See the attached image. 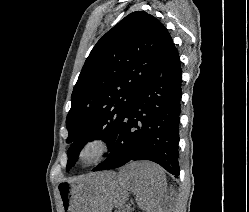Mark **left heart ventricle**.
I'll list each match as a JSON object with an SVG mask.
<instances>
[{"label":"left heart ventricle","mask_w":249,"mask_h":212,"mask_svg":"<svg viewBox=\"0 0 249 212\" xmlns=\"http://www.w3.org/2000/svg\"><path fill=\"white\" fill-rule=\"evenodd\" d=\"M98 151H99L98 146H91L85 151L84 158L90 159L94 157L98 153Z\"/></svg>","instance_id":"obj_1"}]
</instances>
